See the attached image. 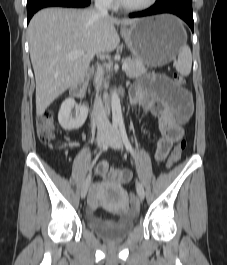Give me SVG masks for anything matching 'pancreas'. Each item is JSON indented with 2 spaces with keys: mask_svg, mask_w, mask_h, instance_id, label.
<instances>
[{
  "mask_svg": "<svg viewBox=\"0 0 227 265\" xmlns=\"http://www.w3.org/2000/svg\"><path fill=\"white\" fill-rule=\"evenodd\" d=\"M124 63L128 64V69L125 72L129 78L139 77L147 71L144 63L135 57L125 59Z\"/></svg>",
  "mask_w": 227,
  "mask_h": 265,
  "instance_id": "cf45deb5",
  "label": "pancreas"
}]
</instances>
